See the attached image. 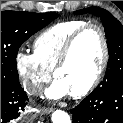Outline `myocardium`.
I'll list each match as a JSON object with an SVG mask.
<instances>
[{"label":"myocardium","mask_w":123,"mask_h":123,"mask_svg":"<svg viewBox=\"0 0 123 123\" xmlns=\"http://www.w3.org/2000/svg\"><path fill=\"white\" fill-rule=\"evenodd\" d=\"M90 29H95L99 33L101 43H102L101 60H100L98 69L94 77L92 78V80L83 89L70 93L71 96L76 97V98L88 95L91 91H93L97 87V85L100 83L103 77V74L105 72V69H106V66L109 60V44H108V39H107L104 29L99 24L87 23L83 25L81 28H79L78 30H76L66 40L62 48L60 57L53 68V76L57 78V74L60 71V69H62L68 62L72 49L76 41L78 40V38Z\"/></svg>","instance_id":"obj_1"}]
</instances>
